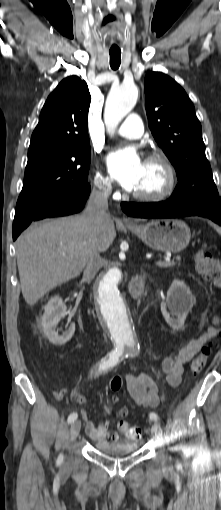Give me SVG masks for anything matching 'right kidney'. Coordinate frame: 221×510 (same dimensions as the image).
Wrapping results in <instances>:
<instances>
[{
    "mask_svg": "<svg viewBox=\"0 0 221 510\" xmlns=\"http://www.w3.org/2000/svg\"><path fill=\"white\" fill-rule=\"evenodd\" d=\"M67 315L66 306L59 296L52 297L44 307L41 326L48 340L57 346L66 344L74 335L75 324L70 323L63 335H58L57 325Z\"/></svg>",
    "mask_w": 221,
    "mask_h": 510,
    "instance_id": "ca27d5eb",
    "label": "right kidney"
}]
</instances>
